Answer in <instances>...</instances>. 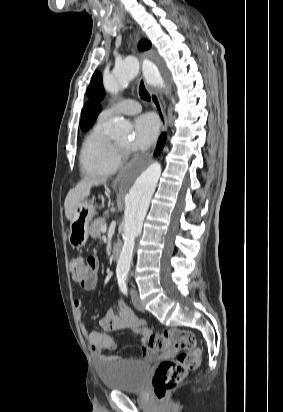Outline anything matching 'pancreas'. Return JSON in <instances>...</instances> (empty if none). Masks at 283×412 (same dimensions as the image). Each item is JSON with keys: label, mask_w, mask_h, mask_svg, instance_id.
<instances>
[{"label": "pancreas", "mask_w": 283, "mask_h": 412, "mask_svg": "<svg viewBox=\"0 0 283 412\" xmlns=\"http://www.w3.org/2000/svg\"><path fill=\"white\" fill-rule=\"evenodd\" d=\"M106 225L104 218L96 219L92 222L90 226V234L93 238H100L101 236V226Z\"/></svg>", "instance_id": "cf45deb5"}]
</instances>
